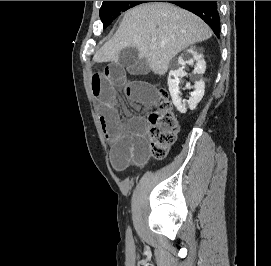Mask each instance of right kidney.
Instances as JSON below:
<instances>
[{"label":"right kidney","mask_w":271,"mask_h":266,"mask_svg":"<svg viewBox=\"0 0 271 266\" xmlns=\"http://www.w3.org/2000/svg\"><path fill=\"white\" fill-rule=\"evenodd\" d=\"M196 61V65L194 66V70L192 73V80L194 81V85L191 86L190 83L186 84L187 89L194 88L195 90L191 92V96L189 100H182L178 95L180 93L179 82L180 78L184 77L186 73L184 72V66L186 64L193 65ZM206 62L203 59L202 54H199L194 48H190L186 50L184 53L179 56L177 60V68L172 69L169 72L168 76V87L169 92L172 98V102L175 107L181 113H186L187 108L190 110L195 109L197 104L201 101L204 96L205 83L202 79V74L205 72Z\"/></svg>","instance_id":"obj_1"}]
</instances>
